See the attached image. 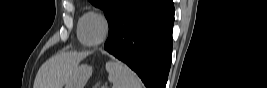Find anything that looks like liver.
<instances>
[{"label":"liver","mask_w":267,"mask_h":88,"mask_svg":"<svg viewBox=\"0 0 267 88\" xmlns=\"http://www.w3.org/2000/svg\"><path fill=\"white\" fill-rule=\"evenodd\" d=\"M87 55L86 52H63L49 58L40 67L34 88H63Z\"/></svg>","instance_id":"1"}]
</instances>
